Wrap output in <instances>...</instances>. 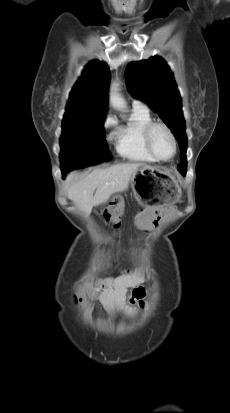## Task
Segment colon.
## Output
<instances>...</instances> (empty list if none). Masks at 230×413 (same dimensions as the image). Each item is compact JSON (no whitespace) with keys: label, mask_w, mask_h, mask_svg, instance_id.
Listing matches in <instances>:
<instances>
[{"label":"colon","mask_w":230,"mask_h":413,"mask_svg":"<svg viewBox=\"0 0 230 413\" xmlns=\"http://www.w3.org/2000/svg\"><path fill=\"white\" fill-rule=\"evenodd\" d=\"M109 204L110 206H107L102 210L103 217L106 221L117 226L121 221L122 206L125 204L124 194L122 192H115L113 197L109 199Z\"/></svg>","instance_id":"colon-1"}]
</instances>
